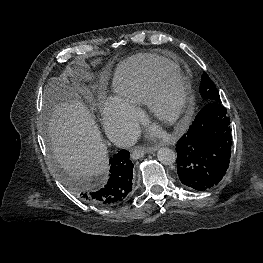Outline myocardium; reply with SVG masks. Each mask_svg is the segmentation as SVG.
Instances as JSON below:
<instances>
[{
  "instance_id": "obj_1",
  "label": "myocardium",
  "mask_w": 263,
  "mask_h": 263,
  "mask_svg": "<svg viewBox=\"0 0 263 263\" xmlns=\"http://www.w3.org/2000/svg\"><path fill=\"white\" fill-rule=\"evenodd\" d=\"M168 82H175L178 85L180 102L174 114L166 117L159 110V99L163 86ZM145 106L151 118L173 128L180 127L188 121L193 112L194 101L191 87L178 70L162 72L153 79Z\"/></svg>"
}]
</instances>
